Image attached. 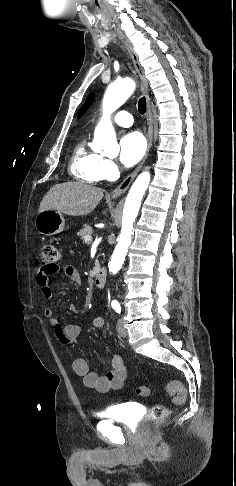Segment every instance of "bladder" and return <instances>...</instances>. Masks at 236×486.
<instances>
[{"label":"bladder","mask_w":236,"mask_h":486,"mask_svg":"<svg viewBox=\"0 0 236 486\" xmlns=\"http://www.w3.org/2000/svg\"><path fill=\"white\" fill-rule=\"evenodd\" d=\"M138 406L132 403H121L110 406L98 413L104 419H110L125 425H133L136 421Z\"/></svg>","instance_id":"1"}]
</instances>
